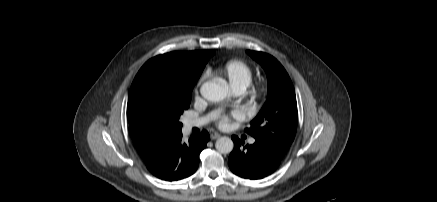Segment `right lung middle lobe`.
Instances as JSON below:
<instances>
[{
  "label": "right lung middle lobe",
  "mask_w": 437,
  "mask_h": 202,
  "mask_svg": "<svg viewBox=\"0 0 437 202\" xmlns=\"http://www.w3.org/2000/svg\"><path fill=\"white\" fill-rule=\"evenodd\" d=\"M201 72L185 71L170 54L147 61L134 78L129 92L130 131L161 138L181 133L179 119L189 108L192 90Z\"/></svg>",
  "instance_id": "right-lung-middle-lobe-1"
}]
</instances>
